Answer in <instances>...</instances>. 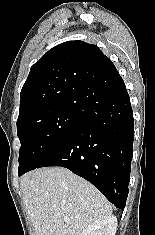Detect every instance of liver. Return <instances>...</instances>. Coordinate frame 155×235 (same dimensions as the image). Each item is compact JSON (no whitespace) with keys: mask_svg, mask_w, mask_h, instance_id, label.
<instances>
[{"mask_svg":"<svg viewBox=\"0 0 155 235\" xmlns=\"http://www.w3.org/2000/svg\"><path fill=\"white\" fill-rule=\"evenodd\" d=\"M20 185L35 235H81L88 225L112 214L106 198L66 168L34 170Z\"/></svg>","mask_w":155,"mask_h":235,"instance_id":"1","label":"liver"}]
</instances>
